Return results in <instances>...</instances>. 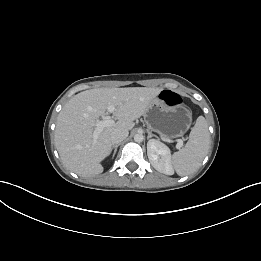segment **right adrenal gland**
I'll return each mask as SVG.
<instances>
[{"label": "right adrenal gland", "instance_id": "1", "mask_svg": "<svg viewBox=\"0 0 261 261\" xmlns=\"http://www.w3.org/2000/svg\"><path fill=\"white\" fill-rule=\"evenodd\" d=\"M119 145H120V144L114 145V146H112V148H111V151L114 149V152H113V158H114L115 155H116L117 148L119 147Z\"/></svg>", "mask_w": 261, "mask_h": 261}]
</instances>
